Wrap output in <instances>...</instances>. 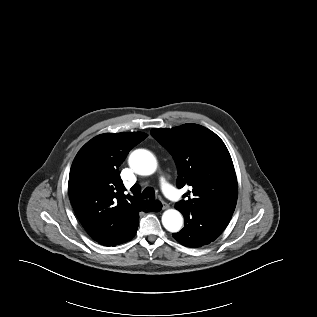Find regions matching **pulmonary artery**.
<instances>
[{
	"instance_id": "e3ab8cb5",
	"label": "pulmonary artery",
	"mask_w": 317,
	"mask_h": 317,
	"mask_svg": "<svg viewBox=\"0 0 317 317\" xmlns=\"http://www.w3.org/2000/svg\"><path fill=\"white\" fill-rule=\"evenodd\" d=\"M161 187L164 194L170 199L176 200L179 198L178 192L165 179H161Z\"/></svg>"
}]
</instances>
